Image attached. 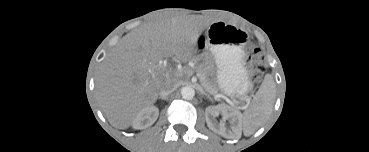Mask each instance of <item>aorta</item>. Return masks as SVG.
Returning <instances> with one entry per match:
<instances>
[{
    "label": "aorta",
    "mask_w": 369,
    "mask_h": 152,
    "mask_svg": "<svg viewBox=\"0 0 369 152\" xmlns=\"http://www.w3.org/2000/svg\"><path fill=\"white\" fill-rule=\"evenodd\" d=\"M181 96L185 100H191L195 96V90L189 86L183 87L181 89Z\"/></svg>",
    "instance_id": "aorta-1"
}]
</instances>
